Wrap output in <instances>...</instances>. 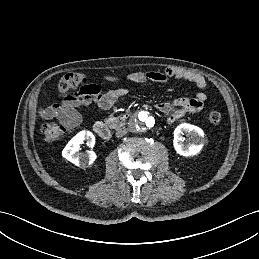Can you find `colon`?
Returning <instances> with one entry per match:
<instances>
[{
	"label": "colon",
	"mask_w": 259,
	"mask_h": 259,
	"mask_svg": "<svg viewBox=\"0 0 259 259\" xmlns=\"http://www.w3.org/2000/svg\"><path fill=\"white\" fill-rule=\"evenodd\" d=\"M87 78L84 73L73 72L65 74L58 82L57 90L60 96L68 97L78 88L86 86ZM221 114L218 111H211L208 115V121L212 125H218L221 122ZM65 126L58 122H48L42 126V134L47 142H54L65 133Z\"/></svg>",
	"instance_id": "5ec220e1"
}]
</instances>
